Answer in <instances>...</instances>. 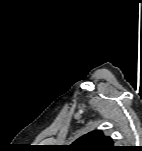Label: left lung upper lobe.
Returning a JSON list of instances; mask_svg holds the SVG:
<instances>
[{
  "label": "left lung upper lobe",
  "mask_w": 142,
  "mask_h": 151,
  "mask_svg": "<svg viewBox=\"0 0 142 151\" xmlns=\"http://www.w3.org/2000/svg\"><path fill=\"white\" fill-rule=\"evenodd\" d=\"M110 137L104 136L101 130H95L78 138L70 145L73 151H116Z\"/></svg>",
  "instance_id": "obj_1"
}]
</instances>
